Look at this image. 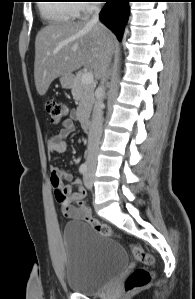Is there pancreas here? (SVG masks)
<instances>
[{"label":"pancreas","instance_id":"obj_1","mask_svg":"<svg viewBox=\"0 0 195 299\" xmlns=\"http://www.w3.org/2000/svg\"><path fill=\"white\" fill-rule=\"evenodd\" d=\"M84 72L80 71L74 78V83L71 89L73 99L78 102L77 113L80 118L87 117L94 104L95 84H84L81 77Z\"/></svg>","mask_w":195,"mask_h":299}]
</instances>
